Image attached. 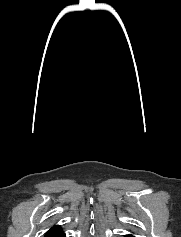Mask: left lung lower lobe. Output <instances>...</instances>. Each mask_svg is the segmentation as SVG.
Segmentation results:
<instances>
[{
	"instance_id": "0a47b994",
	"label": "left lung lower lobe",
	"mask_w": 181,
	"mask_h": 237,
	"mask_svg": "<svg viewBox=\"0 0 181 237\" xmlns=\"http://www.w3.org/2000/svg\"><path fill=\"white\" fill-rule=\"evenodd\" d=\"M125 237H134V236L131 234H128V235H125Z\"/></svg>"
}]
</instances>
